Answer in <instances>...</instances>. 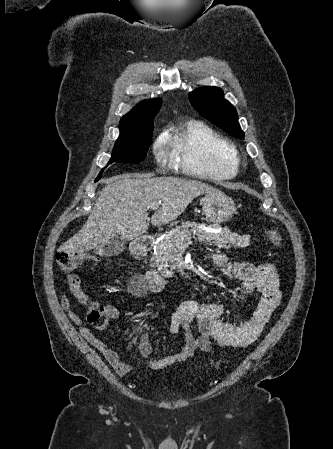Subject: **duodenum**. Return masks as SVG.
Returning a JSON list of instances; mask_svg holds the SVG:
<instances>
[{
    "instance_id": "410a0bca",
    "label": "duodenum",
    "mask_w": 333,
    "mask_h": 449,
    "mask_svg": "<svg viewBox=\"0 0 333 449\" xmlns=\"http://www.w3.org/2000/svg\"><path fill=\"white\" fill-rule=\"evenodd\" d=\"M153 236H146L135 241L131 246V254L135 257L145 255L154 245ZM148 287L154 292H162L167 288L168 280L156 270L150 269L147 272Z\"/></svg>"
}]
</instances>
